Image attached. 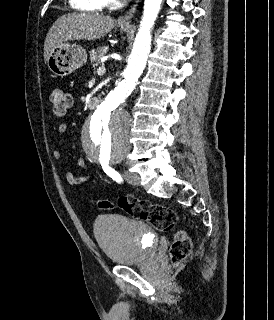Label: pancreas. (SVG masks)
<instances>
[{
  "instance_id": "pancreas-1",
  "label": "pancreas",
  "mask_w": 274,
  "mask_h": 320,
  "mask_svg": "<svg viewBox=\"0 0 274 320\" xmlns=\"http://www.w3.org/2000/svg\"><path fill=\"white\" fill-rule=\"evenodd\" d=\"M107 50V46H100V48H97V50H92V52H90V60L92 64H98V66H101V58L106 56Z\"/></svg>"
}]
</instances>
